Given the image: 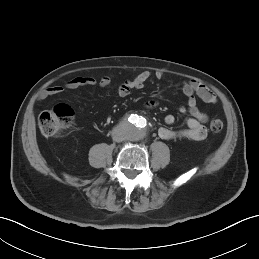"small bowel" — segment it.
<instances>
[{"label":"small bowel","instance_id":"obj_1","mask_svg":"<svg viewBox=\"0 0 259 259\" xmlns=\"http://www.w3.org/2000/svg\"><path fill=\"white\" fill-rule=\"evenodd\" d=\"M152 77L160 80L164 77V72L160 70L156 72L148 70L142 71L133 79L121 83L117 88L118 95L120 97H127L132 90L143 88L145 83ZM111 81L112 79L109 75L102 76L99 80L91 76L75 77L64 85L51 86L42 90L38 95V100L42 101L51 96L61 95L67 91L82 87H94L98 85L100 88H106L111 84ZM182 91L187 97V106H180L179 111L183 114H189L187 118V128L174 130L168 127H161L158 130V135L164 140H203L207 135L205 123L208 118L207 115L198 108L196 95L207 103H215L217 101L216 96L207 86L196 80L184 81L182 83ZM147 106L153 107L154 103L148 102ZM174 121L175 117L171 114L165 117V123L167 125L173 124Z\"/></svg>","mask_w":259,"mask_h":259}]
</instances>
